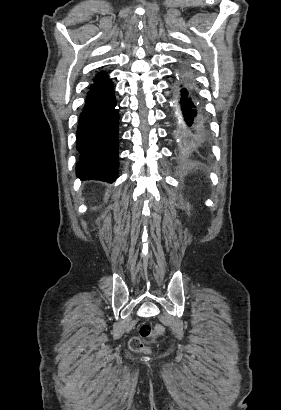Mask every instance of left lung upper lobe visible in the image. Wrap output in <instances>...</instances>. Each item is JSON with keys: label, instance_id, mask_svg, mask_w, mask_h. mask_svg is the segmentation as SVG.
I'll return each mask as SVG.
<instances>
[{"label": "left lung upper lobe", "instance_id": "5c2ea615", "mask_svg": "<svg viewBox=\"0 0 281 410\" xmlns=\"http://www.w3.org/2000/svg\"><path fill=\"white\" fill-rule=\"evenodd\" d=\"M183 71H185V72H187V73H189V74L191 75V73L189 72V70H188L187 68H184Z\"/></svg>", "mask_w": 281, "mask_h": 410}]
</instances>
